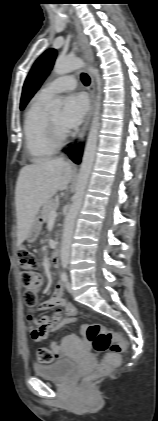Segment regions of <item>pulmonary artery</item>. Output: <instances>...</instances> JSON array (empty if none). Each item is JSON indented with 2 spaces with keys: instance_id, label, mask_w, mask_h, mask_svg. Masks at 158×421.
Segmentation results:
<instances>
[{
  "instance_id": "e3ab8cb5",
  "label": "pulmonary artery",
  "mask_w": 158,
  "mask_h": 421,
  "mask_svg": "<svg viewBox=\"0 0 158 421\" xmlns=\"http://www.w3.org/2000/svg\"><path fill=\"white\" fill-rule=\"evenodd\" d=\"M76 78L73 75H65L58 77L47 84H45L39 94L46 98H51L54 95L73 90L76 87Z\"/></svg>"
}]
</instances>
